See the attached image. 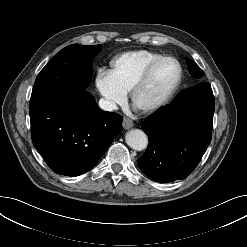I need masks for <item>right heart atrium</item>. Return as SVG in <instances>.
Returning <instances> with one entry per match:
<instances>
[{"instance_id":"1","label":"right heart atrium","mask_w":247,"mask_h":247,"mask_svg":"<svg viewBox=\"0 0 247 247\" xmlns=\"http://www.w3.org/2000/svg\"><path fill=\"white\" fill-rule=\"evenodd\" d=\"M95 87L109 109L122 104L127 97V92L114 80L111 71L100 68L95 76Z\"/></svg>"}]
</instances>
